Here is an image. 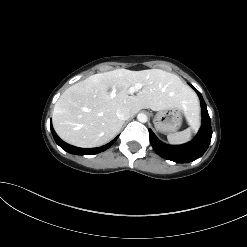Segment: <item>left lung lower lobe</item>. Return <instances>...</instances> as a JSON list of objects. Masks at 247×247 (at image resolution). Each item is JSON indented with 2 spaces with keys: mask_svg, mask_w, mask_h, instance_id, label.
Wrapping results in <instances>:
<instances>
[{
  "mask_svg": "<svg viewBox=\"0 0 247 247\" xmlns=\"http://www.w3.org/2000/svg\"><path fill=\"white\" fill-rule=\"evenodd\" d=\"M191 87L197 92L202 108L203 124L198 135L187 144L171 146L158 140L153 131L149 129L150 142L155 152H157L162 158L174 161L176 163H188L201 157L207 150L212 137L211 121L205 101L202 98L201 93L192 85Z\"/></svg>",
  "mask_w": 247,
  "mask_h": 247,
  "instance_id": "obj_1",
  "label": "left lung lower lobe"
}]
</instances>
